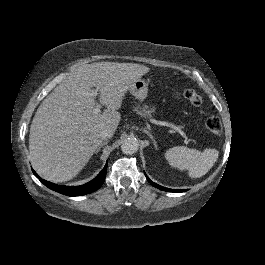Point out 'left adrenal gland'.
I'll return each mask as SVG.
<instances>
[{
    "instance_id": "1",
    "label": "left adrenal gland",
    "mask_w": 265,
    "mask_h": 265,
    "mask_svg": "<svg viewBox=\"0 0 265 265\" xmlns=\"http://www.w3.org/2000/svg\"><path fill=\"white\" fill-rule=\"evenodd\" d=\"M143 132L146 133V135L153 141L155 148H157V143L155 139L153 138V135L151 134V132L148 131L146 128L143 129Z\"/></svg>"
}]
</instances>
